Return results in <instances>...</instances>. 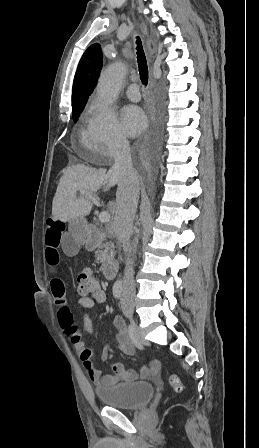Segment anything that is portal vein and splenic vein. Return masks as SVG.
Returning a JSON list of instances; mask_svg holds the SVG:
<instances>
[{
    "label": "portal vein and splenic vein",
    "mask_w": 259,
    "mask_h": 448,
    "mask_svg": "<svg viewBox=\"0 0 259 448\" xmlns=\"http://www.w3.org/2000/svg\"><path fill=\"white\" fill-rule=\"evenodd\" d=\"M111 216L110 214H108V212H101V214H99V222H102V224H106V222H109Z\"/></svg>",
    "instance_id": "1"
}]
</instances>
